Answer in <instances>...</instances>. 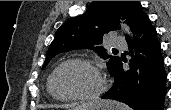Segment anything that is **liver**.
Here are the masks:
<instances>
[{"label":"liver","mask_w":171,"mask_h":110,"mask_svg":"<svg viewBox=\"0 0 171 110\" xmlns=\"http://www.w3.org/2000/svg\"><path fill=\"white\" fill-rule=\"evenodd\" d=\"M92 105L89 104H85L81 107L87 108L90 107ZM97 106H99L100 108L106 109V110H113V108L117 107V110H121V106H123L122 104H117L115 102H98Z\"/></svg>","instance_id":"6515ba94"}]
</instances>
